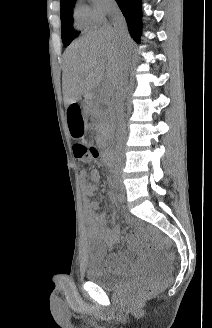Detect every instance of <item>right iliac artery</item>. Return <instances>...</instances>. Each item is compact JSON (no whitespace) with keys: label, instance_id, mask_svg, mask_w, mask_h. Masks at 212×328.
Returning <instances> with one entry per match:
<instances>
[{"label":"right iliac artery","instance_id":"obj_1","mask_svg":"<svg viewBox=\"0 0 212 328\" xmlns=\"http://www.w3.org/2000/svg\"><path fill=\"white\" fill-rule=\"evenodd\" d=\"M119 201H123V197L121 195L118 196Z\"/></svg>","mask_w":212,"mask_h":328}]
</instances>
